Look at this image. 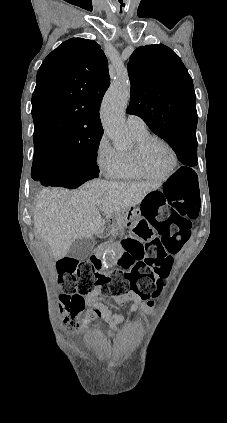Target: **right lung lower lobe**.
<instances>
[{
  "mask_svg": "<svg viewBox=\"0 0 227 423\" xmlns=\"http://www.w3.org/2000/svg\"><path fill=\"white\" fill-rule=\"evenodd\" d=\"M31 176L43 186H55L74 189L93 179L82 177L74 171L64 170L61 164L52 160H43L32 166Z\"/></svg>",
  "mask_w": 227,
  "mask_h": 423,
  "instance_id": "1",
  "label": "right lung lower lobe"
}]
</instances>
